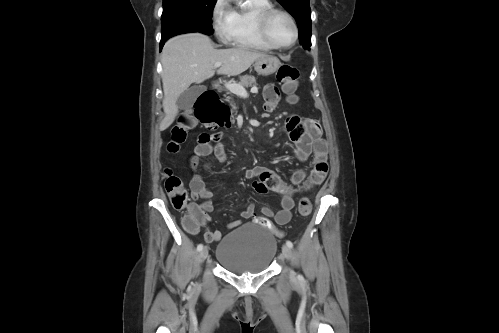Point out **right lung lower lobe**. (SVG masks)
<instances>
[{"label":"right lung lower lobe","instance_id":"right-lung-lower-lobe-1","mask_svg":"<svg viewBox=\"0 0 499 333\" xmlns=\"http://www.w3.org/2000/svg\"><path fill=\"white\" fill-rule=\"evenodd\" d=\"M167 39H161V42H160V50L162 49L164 43L166 42Z\"/></svg>","mask_w":499,"mask_h":333}]
</instances>
